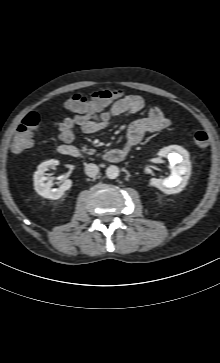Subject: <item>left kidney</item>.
I'll return each instance as SVG.
<instances>
[{
	"label": "left kidney",
	"mask_w": 220,
	"mask_h": 363,
	"mask_svg": "<svg viewBox=\"0 0 220 363\" xmlns=\"http://www.w3.org/2000/svg\"><path fill=\"white\" fill-rule=\"evenodd\" d=\"M159 156L167 157L172 166L171 175L165 179H150V186L168 194L178 193L186 186L191 174L188 152L180 146L171 145L161 149Z\"/></svg>",
	"instance_id": "5707ae66"
}]
</instances>
